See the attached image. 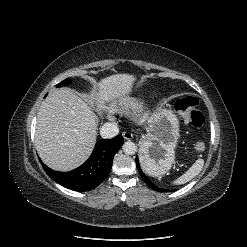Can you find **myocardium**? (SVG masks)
Wrapping results in <instances>:
<instances>
[{"label": "myocardium", "instance_id": "myocardium-1", "mask_svg": "<svg viewBox=\"0 0 247 247\" xmlns=\"http://www.w3.org/2000/svg\"><path fill=\"white\" fill-rule=\"evenodd\" d=\"M144 114H145L144 107L139 108L137 113H136L137 117H142V116H144Z\"/></svg>", "mask_w": 247, "mask_h": 247}]
</instances>
